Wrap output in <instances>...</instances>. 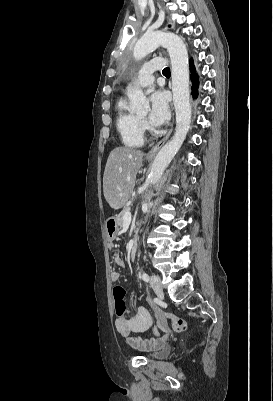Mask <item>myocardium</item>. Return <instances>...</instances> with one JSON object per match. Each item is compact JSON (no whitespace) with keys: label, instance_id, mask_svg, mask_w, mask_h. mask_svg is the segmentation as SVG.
Here are the masks:
<instances>
[{"label":"myocardium","instance_id":"myocardium-1","mask_svg":"<svg viewBox=\"0 0 273 401\" xmlns=\"http://www.w3.org/2000/svg\"><path fill=\"white\" fill-rule=\"evenodd\" d=\"M141 123H144L145 120L143 118H139Z\"/></svg>","mask_w":273,"mask_h":401}]
</instances>
